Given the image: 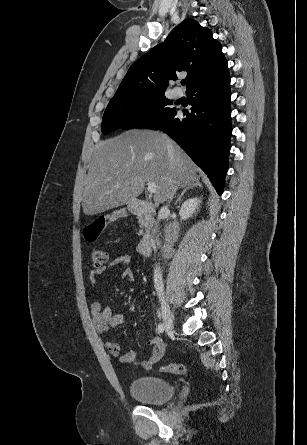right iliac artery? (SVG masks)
<instances>
[{"label": "right iliac artery", "instance_id": "82829eb1", "mask_svg": "<svg viewBox=\"0 0 307 445\" xmlns=\"http://www.w3.org/2000/svg\"><path fill=\"white\" fill-rule=\"evenodd\" d=\"M164 331V325L162 324V323H160L159 325H158V332L159 333H162Z\"/></svg>", "mask_w": 307, "mask_h": 445}]
</instances>
